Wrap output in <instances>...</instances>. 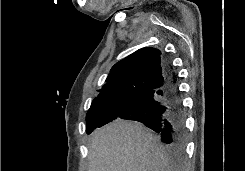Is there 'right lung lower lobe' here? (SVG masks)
<instances>
[{
  "instance_id": "1",
  "label": "right lung lower lobe",
  "mask_w": 245,
  "mask_h": 171,
  "mask_svg": "<svg viewBox=\"0 0 245 171\" xmlns=\"http://www.w3.org/2000/svg\"><path fill=\"white\" fill-rule=\"evenodd\" d=\"M164 71L166 82L161 88L123 101L97 127L119 118L139 121L158 133L164 143L178 149V157H181L180 147L185 137L184 112L176 77L166 59Z\"/></svg>"
}]
</instances>
